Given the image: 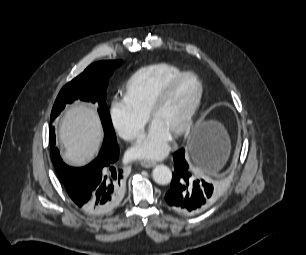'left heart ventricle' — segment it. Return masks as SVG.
<instances>
[{"label":"left heart ventricle","instance_id":"b2bd125f","mask_svg":"<svg viewBox=\"0 0 306 255\" xmlns=\"http://www.w3.org/2000/svg\"><path fill=\"white\" fill-rule=\"evenodd\" d=\"M198 94V84L193 78H187L174 90L166 103L156 113V123L173 134L184 121Z\"/></svg>","mask_w":306,"mask_h":255}]
</instances>
